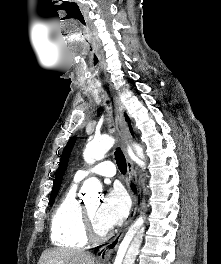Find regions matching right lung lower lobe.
I'll use <instances>...</instances> for the list:
<instances>
[{
  "mask_svg": "<svg viewBox=\"0 0 221 264\" xmlns=\"http://www.w3.org/2000/svg\"><path fill=\"white\" fill-rule=\"evenodd\" d=\"M132 188H133L134 191H136V190H135V186H132Z\"/></svg>",
  "mask_w": 221,
  "mask_h": 264,
  "instance_id": "98d812e1",
  "label": "right lung lower lobe"
}]
</instances>
